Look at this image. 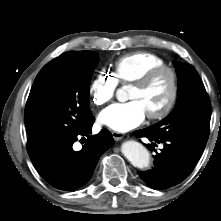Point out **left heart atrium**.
Here are the masks:
<instances>
[{"instance_id":"obj_1","label":"left heart atrium","mask_w":221,"mask_h":221,"mask_svg":"<svg viewBox=\"0 0 221 221\" xmlns=\"http://www.w3.org/2000/svg\"><path fill=\"white\" fill-rule=\"evenodd\" d=\"M146 111L138 100L116 103L101 111L98 121L115 131L126 132L136 128L145 120Z\"/></svg>"}]
</instances>
